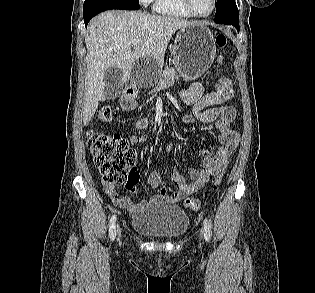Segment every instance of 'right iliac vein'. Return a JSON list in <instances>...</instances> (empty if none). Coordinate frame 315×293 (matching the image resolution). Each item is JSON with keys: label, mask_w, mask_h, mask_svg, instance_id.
I'll list each match as a JSON object with an SVG mask.
<instances>
[{"label": "right iliac vein", "mask_w": 315, "mask_h": 293, "mask_svg": "<svg viewBox=\"0 0 315 293\" xmlns=\"http://www.w3.org/2000/svg\"><path fill=\"white\" fill-rule=\"evenodd\" d=\"M118 233H119V235H120V228L118 227Z\"/></svg>", "instance_id": "1"}]
</instances>
